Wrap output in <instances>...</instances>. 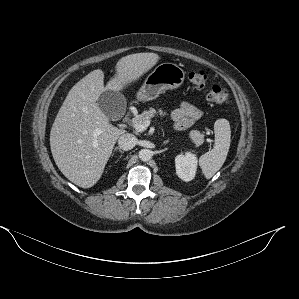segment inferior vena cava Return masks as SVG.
<instances>
[{"mask_svg": "<svg viewBox=\"0 0 299 299\" xmlns=\"http://www.w3.org/2000/svg\"><path fill=\"white\" fill-rule=\"evenodd\" d=\"M136 143H137V138L130 133H125L121 135L118 139L119 148L126 151L134 148Z\"/></svg>", "mask_w": 299, "mask_h": 299, "instance_id": "602c4592", "label": "inferior vena cava"}]
</instances>
